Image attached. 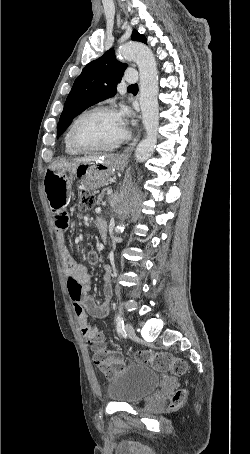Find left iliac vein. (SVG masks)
<instances>
[{"mask_svg": "<svg viewBox=\"0 0 250 454\" xmlns=\"http://www.w3.org/2000/svg\"><path fill=\"white\" fill-rule=\"evenodd\" d=\"M125 332L129 338H134L136 336L135 330L130 323H127L125 326Z\"/></svg>", "mask_w": 250, "mask_h": 454, "instance_id": "1", "label": "left iliac vein"}]
</instances>
